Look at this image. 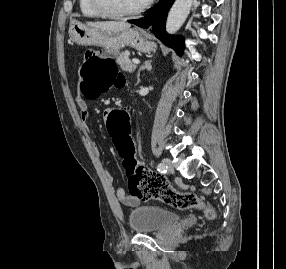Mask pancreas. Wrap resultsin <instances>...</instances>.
<instances>
[{"instance_id":"cf45deb5","label":"pancreas","mask_w":286,"mask_h":269,"mask_svg":"<svg viewBox=\"0 0 286 269\" xmlns=\"http://www.w3.org/2000/svg\"><path fill=\"white\" fill-rule=\"evenodd\" d=\"M117 63L120 67L128 72H133L136 68V65L129 59V53L123 52L117 58Z\"/></svg>"}]
</instances>
